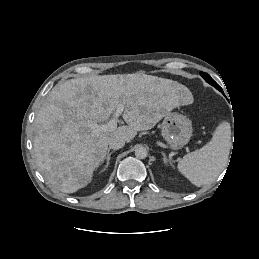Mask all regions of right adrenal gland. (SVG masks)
I'll return each mask as SVG.
<instances>
[{
  "instance_id": "2a0ac1e0",
  "label": "right adrenal gland",
  "mask_w": 259,
  "mask_h": 259,
  "mask_svg": "<svg viewBox=\"0 0 259 259\" xmlns=\"http://www.w3.org/2000/svg\"><path fill=\"white\" fill-rule=\"evenodd\" d=\"M113 153H114V150L107 153V155H106V157H105V159H106V164H105V166H104V168H103L102 171H104V170L108 167L109 161H110V159H111V155H112Z\"/></svg>"
}]
</instances>
